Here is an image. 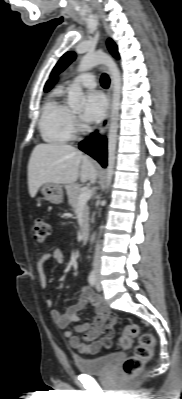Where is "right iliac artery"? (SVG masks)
Returning <instances> with one entry per match:
<instances>
[{
    "mask_svg": "<svg viewBox=\"0 0 182 399\" xmlns=\"http://www.w3.org/2000/svg\"><path fill=\"white\" fill-rule=\"evenodd\" d=\"M96 280H97V278H96V273H95V271H91L90 274H89V277H88V282H89V284H90L91 286H95Z\"/></svg>",
    "mask_w": 182,
    "mask_h": 399,
    "instance_id": "82829eb1",
    "label": "right iliac artery"
}]
</instances>
